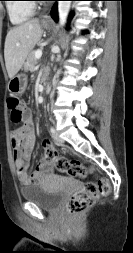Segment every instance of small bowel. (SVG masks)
Segmentation results:
<instances>
[{
	"label": "small bowel",
	"mask_w": 133,
	"mask_h": 253,
	"mask_svg": "<svg viewBox=\"0 0 133 253\" xmlns=\"http://www.w3.org/2000/svg\"><path fill=\"white\" fill-rule=\"evenodd\" d=\"M11 142L16 176L22 185L40 182L53 172V166L42 158L36 170L31 175L28 174V164L35 144V130L30 110H26L23 125L12 132Z\"/></svg>",
	"instance_id": "small-bowel-1"
}]
</instances>
